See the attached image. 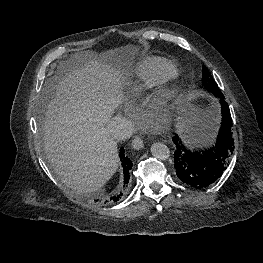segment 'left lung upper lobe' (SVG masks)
<instances>
[{"label": "left lung upper lobe", "mask_w": 263, "mask_h": 263, "mask_svg": "<svg viewBox=\"0 0 263 263\" xmlns=\"http://www.w3.org/2000/svg\"><path fill=\"white\" fill-rule=\"evenodd\" d=\"M202 83L203 86L214 95L218 96L222 94L217 83L211 77L210 72L205 66H203V71H202Z\"/></svg>", "instance_id": "1"}]
</instances>
